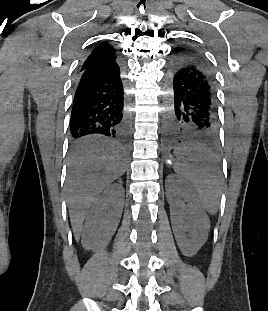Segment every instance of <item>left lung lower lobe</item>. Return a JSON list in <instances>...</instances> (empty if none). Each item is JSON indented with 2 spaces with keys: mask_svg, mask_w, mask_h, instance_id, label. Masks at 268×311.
Returning a JSON list of instances; mask_svg holds the SVG:
<instances>
[{
  "mask_svg": "<svg viewBox=\"0 0 268 311\" xmlns=\"http://www.w3.org/2000/svg\"><path fill=\"white\" fill-rule=\"evenodd\" d=\"M171 106L165 120L166 141H218L216 85L207 60L190 48L168 63Z\"/></svg>",
  "mask_w": 268,
  "mask_h": 311,
  "instance_id": "obj_1",
  "label": "left lung lower lobe"
}]
</instances>
